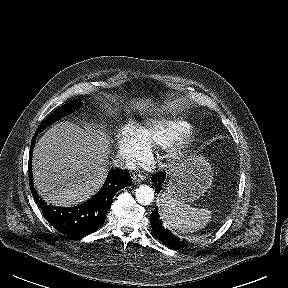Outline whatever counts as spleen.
Segmentation results:
<instances>
[{
  "instance_id": "1",
  "label": "spleen",
  "mask_w": 288,
  "mask_h": 288,
  "mask_svg": "<svg viewBox=\"0 0 288 288\" xmlns=\"http://www.w3.org/2000/svg\"><path fill=\"white\" fill-rule=\"evenodd\" d=\"M161 215L168 226L181 233L202 229L211 219V211L191 207L167 195L161 199Z\"/></svg>"
}]
</instances>
